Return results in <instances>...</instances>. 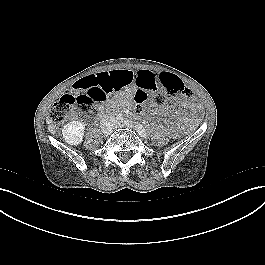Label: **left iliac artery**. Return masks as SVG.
<instances>
[{"label":"left iliac artery","mask_w":265,"mask_h":265,"mask_svg":"<svg viewBox=\"0 0 265 265\" xmlns=\"http://www.w3.org/2000/svg\"><path fill=\"white\" fill-rule=\"evenodd\" d=\"M136 127H137V131H138L139 135H141L142 137H145L147 135L146 130L144 129V127L141 124H137Z\"/></svg>","instance_id":"obj_1"}]
</instances>
